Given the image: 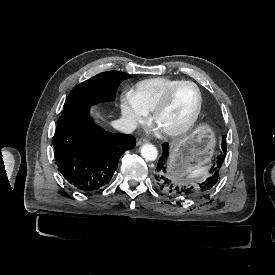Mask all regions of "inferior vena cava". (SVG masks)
Wrapping results in <instances>:
<instances>
[{"instance_id":"1","label":"inferior vena cava","mask_w":275,"mask_h":275,"mask_svg":"<svg viewBox=\"0 0 275 275\" xmlns=\"http://www.w3.org/2000/svg\"><path fill=\"white\" fill-rule=\"evenodd\" d=\"M114 126L116 129L121 130L123 133H132L136 126L133 123L125 122L124 120H117L114 122Z\"/></svg>"}]
</instances>
